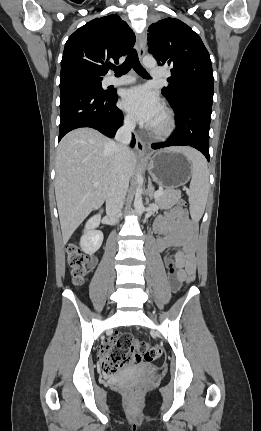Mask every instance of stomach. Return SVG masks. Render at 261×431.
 Segmentation results:
<instances>
[{
    "mask_svg": "<svg viewBox=\"0 0 261 431\" xmlns=\"http://www.w3.org/2000/svg\"><path fill=\"white\" fill-rule=\"evenodd\" d=\"M153 181L167 189L186 184L192 176L191 162L180 152L158 151L147 163Z\"/></svg>",
    "mask_w": 261,
    "mask_h": 431,
    "instance_id": "0dacf381",
    "label": "stomach"
}]
</instances>
